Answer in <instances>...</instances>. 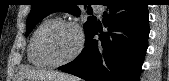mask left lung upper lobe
Listing matches in <instances>:
<instances>
[{"label": "left lung upper lobe", "instance_id": "1", "mask_svg": "<svg viewBox=\"0 0 169 81\" xmlns=\"http://www.w3.org/2000/svg\"><path fill=\"white\" fill-rule=\"evenodd\" d=\"M31 5V12L27 19L26 36L43 18L53 12L63 11L76 16L80 15L81 12L80 5H78V1L76 0H32ZM95 23L96 19L94 17L88 18V21L84 25L85 35L89 33Z\"/></svg>", "mask_w": 169, "mask_h": 81}]
</instances>
